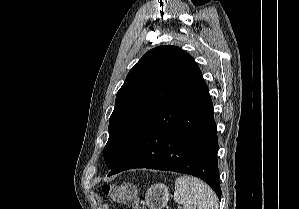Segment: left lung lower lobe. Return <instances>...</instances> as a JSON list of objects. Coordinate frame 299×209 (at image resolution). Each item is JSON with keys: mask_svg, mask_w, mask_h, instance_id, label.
<instances>
[{"mask_svg": "<svg viewBox=\"0 0 299 209\" xmlns=\"http://www.w3.org/2000/svg\"><path fill=\"white\" fill-rule=\"evenodd\" d=\"M217 152L213 103L200 73L154 114L108 176L132 168L190 174L220 199Z\"/></svg>", "mask_w": 299, "mask_h": 209, "instance_id": "0a47b994", "label": "left lung lower lobe"}]
</instances>
